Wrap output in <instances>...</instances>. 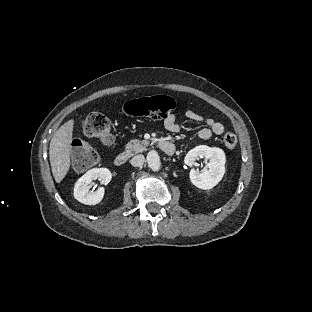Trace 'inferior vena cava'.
Wrapping results in <instances>:
<instances>
[{
  "label": "inferior vena cava",
  "mask_w": 312,
  "mask_h": 312,
  "mask_svg": "<svg viewBox=\"0 0 312 312\" xmlns=\"http://www.w3.org/2000/svg\"><path fill=\"white\" fill-rule=\"evenodd\" d=\"M144 161H145V157L140 154V155L134 156L130 160V163L134 167H140V166H142L144 164Z\"/></svg>",
  "instance_id": "602c4592"
}]
</instances>
